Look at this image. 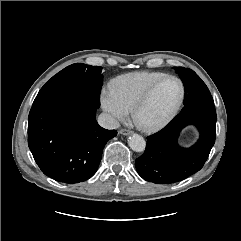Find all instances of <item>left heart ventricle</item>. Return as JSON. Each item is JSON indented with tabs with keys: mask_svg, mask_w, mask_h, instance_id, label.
<instances>
[{
	"mask_svg": "<svg viewBox=\"0 0 241 241\" xmlns=\"http://www.w3.org/2000/svg\"><path fill=\"white\" fill-rule=\"evenodd\" d=\"M180 91V85L176 80L163 81L156 88L147 104L140 110L139 120L151 123L163 118L177 103Z\"/></svg>",
	"mask_w": 241,
	"mask_h": 241,
	"instance_id": "left-heart-ventricle-1",
	"label": "left heart ventricle"
}]
</instances>
